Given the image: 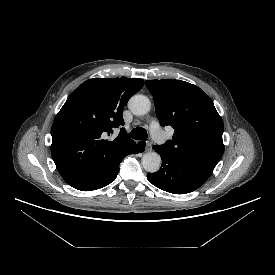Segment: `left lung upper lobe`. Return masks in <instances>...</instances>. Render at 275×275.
I'll return each mask as SVG.
<instances>
[{
  "label": "left lung upper lobe",
  "instance_id": "1",
  "mask_svg": "<svg viewBox=\"0 0 275 275\" xmlns=\"http://www.w3.org/2000/svg\"><path fill=\"white\" fill-rule=\"evenodd\" d=\"M162 126L174 128L172 140L158 146L210 176L224 153L223 121L199 87L181 80H146Z\"/></svg>",
  "mask_w": 275,
  "mask_h": 275
}]
</instances>
